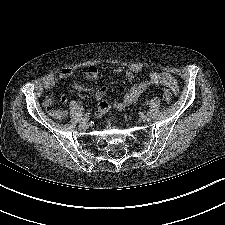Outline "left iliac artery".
I'll return each instance as SVG.
<instances>
[{
	"label": "left iliac artery",
	"instance_id": "left-iliac-artery-1",
	"mask_svg": "<svg viewBox=\"0 0 225 225\" xmlns=\"http://www.w3.org/2000/svg\"><path fill=\"white\" fill-rule=\"evenodd\" d=\"M150 112H151V111L148 109V110H145L143 113H144L145 115H148Z\"/></svg>",
	"mask_w": 225,
	"mask_h": 225
}]
</instances>
